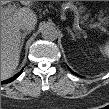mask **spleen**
<instances>
[{
  "mask_svg": "<svg viewBox=\"0 0 109 109\" xmlns=\"http://www.w3.org/2000/svg\"><path fill=\"white\" fill-rule=\"evenodd\" d=\"M104 53L107 55L109 53V47L108 46H105L104 48Z\"/></svg>",
  "mask_w": 109,
  "mask_h": 109,
  "instance_id": "1",
  "label": "spleen"
}]
</instances>
